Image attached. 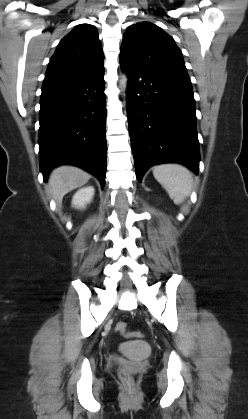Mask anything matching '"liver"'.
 Returning a JSON list of instances; mask_svg holds the SVG:
<instances>
[{"label":"liver","instance_id":"obj_1","mask_svg":"<svg viewBox=\"0 0 248 419\" xmlns=\"http://www.w3.org/2000/svg\"><path fill=\"white\" fill-rule=\"evenodd\" d=\"M90 174L74 166H60L49 177L48 189L58 204L65 194L88 182Z\"/></svg>","mask_w":248,"mask_h":419}]
</instances>
